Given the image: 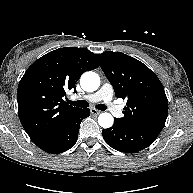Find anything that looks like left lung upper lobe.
I'll return each instance as SVG.
<instances>
[{
    "mask_svg": "<svg viewBox=\"0 0 193 193\" xmlns=\"http://www.w3.org/2000/svg\"><path fill=\"white\" fill-rule=\"evenodd\" d=\"M96 56L115 95L127 99L124 117L115 118V121L131 128L164 127L168 100L155 73L139 60L121 52L106 51Z\"/></svg>",
    "mask_w": 193,
    "mask_h": 193,
    "instance_id": "5c2ea615",
    "label": "left lung upper lobe"
}]
</instances>
